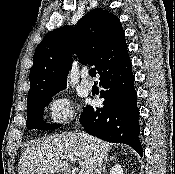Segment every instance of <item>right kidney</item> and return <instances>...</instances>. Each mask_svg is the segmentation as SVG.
Segmentation results:
<instances>
[{
  "label": "right kidney",
  "mask_w": 175,
  "mask_h": 174,
  "mask_svg": "<svg viewBox=\"0 0 175 174\" xmlns=\"http://www.w3.org/2000/svg\"><path fill=\"white\" fill-rule=\"evenodd\" d=\"M110 174H124L121 165L116 164L114 167H112Z\"/></svg>",
  "instance_id": "ca27d5eb"
}]
</instances>
